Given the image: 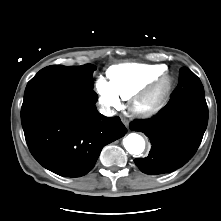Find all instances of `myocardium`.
<instances>
[{
	"label": "myocardium",
	"instance_id": "obj_1",
	"mask_svg": "<svg viewBox=\"0 0 221 221\" xmlns=\"http://www.w3.org/2000/svg\"><path fill=\"white\" fill-rule=\"evenodd\" d=\"M172 87L173 78L165 72L131 98V112L140 117H151L157 114L166 103Z\"/></svg>",
	"mask_w": 221,
	"mask_h": 221
}]
</instances>
